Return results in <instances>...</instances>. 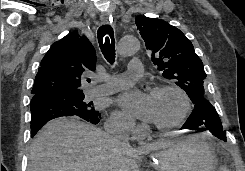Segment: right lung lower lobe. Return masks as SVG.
<instances>
[{"mask_svg": "<svg viewBox=\"0 0 245 171\" xmlns=\"http://www.w3.org/2000/svg\"><path fill=\"white\" fill-rule=\"evenodd\" d=\"M31 110V136L33 137L48 121L62 116H79L86 121L97 124L100 113L86 114L64 99L53 95L33 97L30 103Z\"/></svg>", "mask_w": 245, "mask_h": 171, "instance_id": "98d812e1", "label": "right lung lower lobe"}]
</instances>
